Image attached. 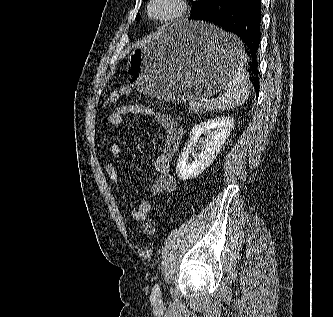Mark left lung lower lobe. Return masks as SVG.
<instances>
[{
    "label": "left lung lower lobe",
    "mask_w": 333,
    "mask_h": 317,
    "mask_svg": "<svg viewBox=\"0 0 333 317\" xmlns=\"http://www.w3.org/2000/svg\"><path fill=\"white\" fill-rule=\"evenodd\" d=\"M190 19L213 24L237 35L244 42L248 48L246 52L252 59L248 69L250 81L258 96L257 50L261 39V0H212L203 10L190 16ZM219 51L230 56L224 45Z\"/></svg>",
    "instance_id": "obj_1"
}]
</instances>
